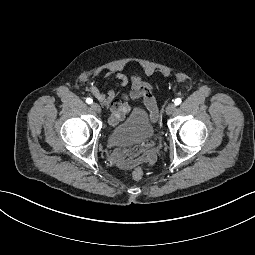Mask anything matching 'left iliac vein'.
I'll return each mask as SVG.
<instances>
[{
    "mask_svg": "<svg viewBox=\"0 0 255 255\" xmlns=\"http://www.w3.org/2000/svg\"><path fill=\"white\" fill-rule=\"evenodd\" d=\"M176 110V105L173 103H170L166 108V114L170 115Z\"/></svg>",
    "mask_w": 255,
    "mask_h": 255,
    "instance_id": "1",
    "label": "left iliac vein"
}]
</instances>
